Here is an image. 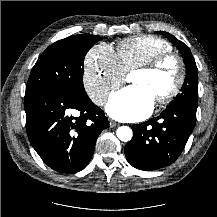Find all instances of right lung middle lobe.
<instances>
[{
  "mask_svg": "<svg viewBox=\"0 0 217 217\" xmlns=\"http://www.w3.org/2000/svg\"><path fill=\"white\" fill-rule=\"evenodd\" d=\"M99 40V36L74 35L53 43L34 65L25 95L42 91L87 95L83 86V62L86 53Z\"/></svg>",
  "mask_w": 217,
  "mask_h": 217,
  "instance_id": "right-lung-middle-lobe-1",
  "label": "right lung middle lobe"
}]
</instances>
